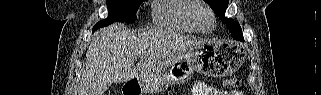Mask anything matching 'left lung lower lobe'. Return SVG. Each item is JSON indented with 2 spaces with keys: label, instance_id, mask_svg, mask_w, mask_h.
<instances>
[{
  "label": "left lung lower lobe",
  "instance_id": "0a47b994",
  "mask_svg": "<svg viewBox=\"0 0 321 95\" xmlns=\"http://www.w3.org/2000/svg\"><path fill=\"white\" fill-rule=\"evenodd\" d=\"M235 40L243 41L244 39H243V36H241V37H238V38H237V39H235Z\"/></svg>",
  "mask_w": 321,
  "mask_h": 95
}]
</instances>
